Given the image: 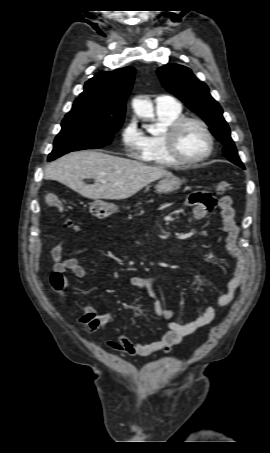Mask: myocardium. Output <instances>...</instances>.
<instances>
[{"label":"myocardium","instance_id":"f54148a6","mask_svg":"<svg viewBox=\"0 0 270 453\" xmlns=\"http://www.w3.org/2000/svg\"><path fill=\"white\" fill-rule=\"evenodd\" d=\"M193 123L201 127L208 141L207 150L197 158H186L177 149V139L182 128ZM163 145L169 157L178 164H197L209 158L214 150V137L209 126L203 120L196 117H180L171 123L163 132Z\"/></svg>","mask_w":270,"mask_h":453}]
</instances>
